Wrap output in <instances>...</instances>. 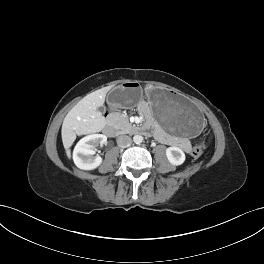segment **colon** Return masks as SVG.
Instances as JSON below:
<instances>
[{"instance_id":"1","label":"colon","mask_w":264,"mask_h":264,"mask_svg":"<svg viewBox=\"0 0 264 264\" xmlns=\"http://www.w3.org/2000/svg\"><path fill=\"white\" fill-rule=\"evenodd\" d=\"M203 150H204V143L202 141H200L194 146V148L192 150V155L194 157H199L202 155Z\"/></svg>"}]
</instances>
